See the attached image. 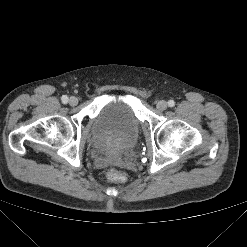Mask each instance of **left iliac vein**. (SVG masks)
I'll list each match as a JSON object with an SVG mask.
<instances>
[{
  "mask_svg": "<svg viewBox=\"0 0 247 247\" xmlns=\"http://www.w3.org/2000/svg\"><path fill=\"white\" fill-rule=\"evenodd\" d=\"M168 104L164 100H160L157 102L156 107L160 111H164L167 108Z\"/></svg>",
  "mask_w": 247,
  "mask_h": 247,
  "instance_id": "1",
  "label": "left iliac vein"
}]
</instances>
